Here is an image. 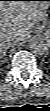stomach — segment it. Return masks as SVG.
Returning a JSON list of instances; mask_svg holds the SVG:
<instances>
[{
	"instance_id": "stomach-1",
	"label": "stomach",
	"mask_w": 50,
	"mask_h": 111,
	"mask_svg": "<svg viewBox=\"0 0 50 111\" xmlns=\"http://www.w3.org/2000/svg\"><path fill=\"white\" fill-rule=\"evenodd\" d=\"M48 16H49V9H47V16L44 21L45 31H46L47 35L50 34V20H49Z\"/></svg>"
}]
</instances>
